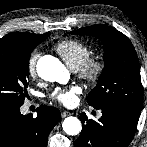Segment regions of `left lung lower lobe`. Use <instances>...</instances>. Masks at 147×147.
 <instances>
[{"instance_id":"left-lung-lower-lobe-1","label":"left lung lower lobe","mask_w":147,"mask_h":147,"mask_svg":"<svg viewBox=\"0 0 147 147\" xmlns=\"http://www.w3.org/2000/svg\"><path fill=\"white\" fill-rule=\"evenodd\" d=\"M99 122L80 114L83 124L74 147H127L136 132L139 116L118 107H102Z\"/></svg>"}]
</instances>
